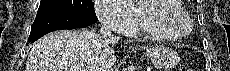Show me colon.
<instances>
[{
	"label": "colon",
	"mask_w": 230,
	"mask_h": 71,
	"mask_svg": "<svg viewBox=\"0 0 230 71\" xmlns=\"http://www.w3.org/2000/svg\"><path fill=\"white\" fill-rule=\"evenodd\" d=\"M180 71H192V69L189 67H181Z\"/></svg>",
	"instance_id": "1"
}]
</instances>
